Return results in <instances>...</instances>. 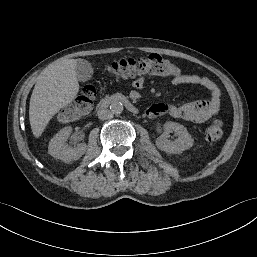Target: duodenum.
I'll return each mask as SVG.
<instances>
[{"mask_svg":"<svg viewBox=\"0 0 257 257\" xmlns=\"http://www.w3.org/2000/svg\"><path fill=\"white\" fill-rule=\"evenodd\" d=\"M114 102H121L132 113H138V109L132 103V101L129 98H127L126 96L121 95V94H115V95H112V96H109V97L105 98L100 103L99 108L104 109V108L108 107L111 103H114Z\"/></svg>","mask_w":257,"mask_h":257,"instance_id":"duodenum-1","label":"duodenum"}]
</instances>
